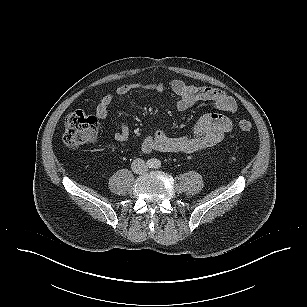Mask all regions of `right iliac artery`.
I'll return each instance as SVG.
<instances>
[{"label": "right iliac artery", "mask_w": 307, "mask_h": 307, "mask_svg": "<svg viewBox=\"0 0 307 307\" xmlns=\"http://www.w3.org/2000/svg\"><path fill=\"white\" fill-rule=\"evenodd\" d=\"M154 162H155L154 160L150 159L146 162V166L148 168H152L154 166Z\"/></svg>", "instance_id": "right-iliac-artery-1"}]
</instances>
